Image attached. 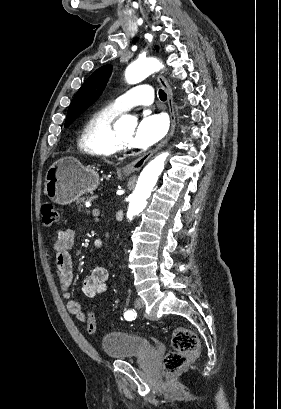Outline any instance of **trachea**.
Returning a JSON list of instances; mask_svg holds the SVG:
<instances>
[{"instance_id":"trachea-1","label":"trachea","mask_w":281,"mask_h":409,"mask_svg":"<svg viewBox=\"0 0 281 409\" xmlns=\"http://www.w3.org/2000/svg\"><path fill=\"white\" fill-rule=\"evenodd\" d=\"M159 98L160 100H162L163 102H165V100L167 99V94L164 92V90L160 89L159 90Z\"/></svg>"}]
</instances>
